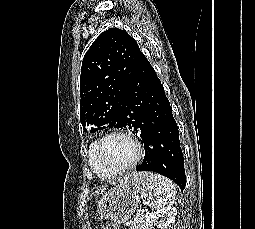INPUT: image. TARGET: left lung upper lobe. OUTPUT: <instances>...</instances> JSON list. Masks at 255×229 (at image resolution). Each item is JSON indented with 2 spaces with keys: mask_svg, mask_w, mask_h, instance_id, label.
I'll use <instances>...</instances> for the list:
<instances>
[{
  "mask_svg": "<svg viewBox=\"0 0 255 229\" xmlns=\"http://www.w3.org/2000/svg\"><path fill=\"white\" fill-rule=\"evenodd\" d=\"M142 54L137 42L117 28L104 31L91 45L80 75V121L85 131L127 129L124 94Z\"/></svg>",
  "mask_w": 255,
  "mask_h": 229,
  "instance_id": "left-lung-upper-lobe-1",
  "label": "left lung upper lobe"
}]
</instances>
